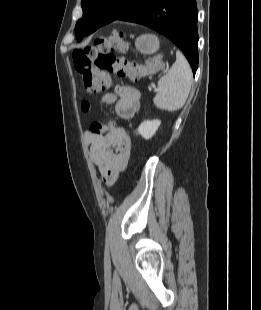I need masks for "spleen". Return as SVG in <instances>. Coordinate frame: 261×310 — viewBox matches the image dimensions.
<instances>
[{"mask_svg": "<svg viewBox=\"0 0 261 310\" xmlns=\"http://www.w3.org/2000/svg\"><path fill=\"white\" fill-rule=\"evenodd\" d=\"M193 75L191 67L180 52H176V62L158 81V93L153 102L159 109L169 112L181 109L189 95Z\"/></svg>", "mask_w": 261, "mask_h": 310, "instance_id": "3e777b00", "label": "spleen"}]
</instances>
